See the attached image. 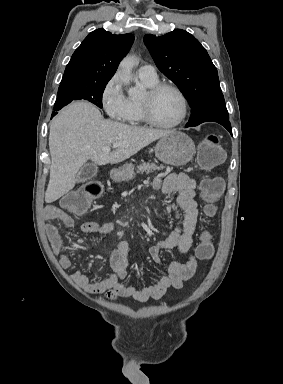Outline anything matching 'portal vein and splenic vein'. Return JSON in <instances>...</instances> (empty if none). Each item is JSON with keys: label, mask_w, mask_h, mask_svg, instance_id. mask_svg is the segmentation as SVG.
Segmentation results:
<instances>
[{"label": "portal vein and splenic vein", "mask_w": 283, "mask_h": 384, "mask_svg": "<svg viewBox=\"0 0 283 384\" xmlns=\"http://www.w3.org/2000/svg\"><path fill=\"white\" fill-rule=\"evenodd\" d=\"M120 144H112V148H119ZM102 152H111V148H108V146H104L102 148Z\"/></svg>", "instance_id": "18ae733b"}]
</instances>
